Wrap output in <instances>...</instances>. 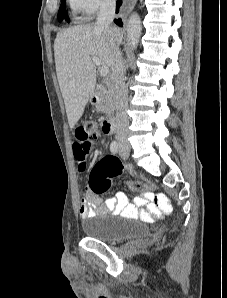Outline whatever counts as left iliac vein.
Returning a JSON list of instances; mask_svg holds the SVG:
<instances>
[{"label": "left iliac vein", "instance_id": "left-iliac-vein-1", "mask_svg": "<svg viewBox=\"0 0 227 298\" xmlns=\"http://www.w3.org/2000/svg\"><path fill=\"white\" fill-rule=\"evenodd\" d=\"M119 155L122 159H127L129 156V148L126 146H121L119 150Z\"/></svg>", "mask_w": 227, "mask_h": 298}]
</instances>
